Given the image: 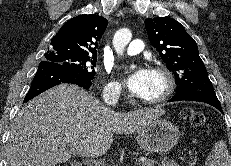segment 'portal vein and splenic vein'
I'll return each mask as SVG.
<instances>
[{
  "label": "portal vein and splenic vein",
  "instance_id": "18ae733b",
  "mask_svg": "<svg viewBox=\"0 0 231 166\" xmlns=\"http://www.w3.org/2000/svg\"><path fill=\"white\" fill-rule=\"evenodd\" d=\"M139 161H140L141 163H145V162L148 161V159L145 158V157H141V158H139Z\"/></svg>",
  "mask_w": 231,
  "mask_h": 166
}]
</instances>
